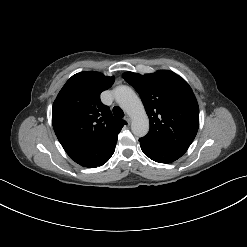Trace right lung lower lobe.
Returning a JSON list of instances; mask_svg holds the SVG:
<instances>
[{
	"mask_svg": "<svg viewBox=\"0 0 247 247\" xmlns=\"http://www.w3.org/2000/svg\"><path fill=\"white\" fill-rule=\"evenodd\" d=\"M117 139H115L111 144H109L98 156L97 158L90 163L89 165L85 166L88 168H96L97 166L104 165L113 155L115 151Z\"/></svg>",
	"mask_w": 247,
	"mask_h": 247,
	"instance_id": "right-lung-lower-lobe-1",
	"label": "right lung lower lobe"
}]
</instances>
